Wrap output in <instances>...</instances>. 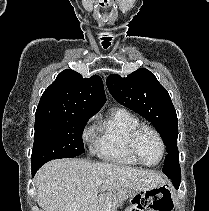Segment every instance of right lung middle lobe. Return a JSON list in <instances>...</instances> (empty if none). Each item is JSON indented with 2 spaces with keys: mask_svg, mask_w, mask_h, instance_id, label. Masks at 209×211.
Returning <instances> with one entry per match:
<instances>
[{
  "mask_svg": "<svg viewBox=\"0 0 209 211\" xmlns=\"http://www.w3.org/2000/svg\"><path fill=\"white\" fill-rule=\"evenodd\" d=\"M89 117L35 119L32 167H41L52 159L84 153L82 132Z\"/></svg>",
  "mask_w": 209,
  "mask_h": 211,
  "instance_id": "dd1d6c3e",
  "label": "right lung middle lobe"
}]
</instances>
